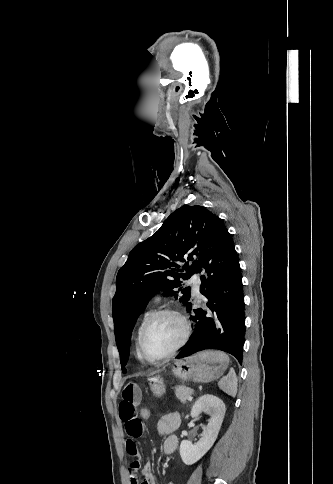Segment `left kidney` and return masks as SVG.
I'll return each instance as SVG.
<instances>
[{
  "instance_id": "1",
  "label": "left kidney",
  "mask_w": 333,
  "mask_h": 484,
  "mask_svg": "<svg viewBox=\"0 0 333 484\" xmlns=\"http://www.w3.org/2000/svg\"><path fill=\"white\" fill-rule=\"evenodd\" d=\"M203 411L210 415V419L203 429L201 438L195 445L187 440H183L180 444V456L186 465L196 463L213 446L220 431L226 408L220 398L205 394L192 406L191 417H198Z\"/></svg>"
}]
</instances>
